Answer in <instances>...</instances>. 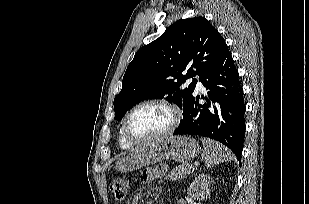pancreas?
I'll list each match as a JSON object with an SVG mask.
<instances>
[{"label":"pancreas","mask_w":309,"mask_h":204,"mask_svg":"<svg viewBox=\"0 0 309 204\" xmlns=\"http://www.w3.org/2000/svg\"><path fill=\"white\" fill-rule=\"evenodd\" d=\"M195 169L194 166H191L190 164L183 163L179 166H177L175 169H173L167 176L166 179L170 178L172 181H176L179 179H182L186 175L193 172Z\"/></svg>","instance_id":"1"}]
</instances>
